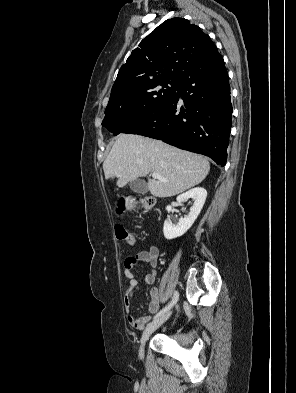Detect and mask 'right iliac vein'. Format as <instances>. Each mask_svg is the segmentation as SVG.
Instances as JSON below:
<instances>
[{"label": "right iliac vein", "instance_id": "63e3f726", "mask_svg": "<svg viewBox=\"0 0 296 393\" xmlns=\"http://www.w3.org/2000/svg\"><path fill=\"white\" fill-rule=\"evenodd\" d=\"M170 315H171V312L169 311L147 325V327L143 331V334H142V337L140 340V350H139L140 356L143 355L144 345H145V342L147 341V339L149 338V336L155 330H157L163 323H165L167 321V319L170 317Z\"/></svg>", "mask_w": 296, "mask_h": 393}]
</instances>
